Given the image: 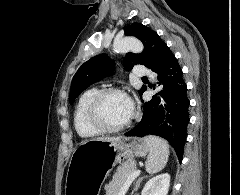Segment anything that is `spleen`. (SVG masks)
<instances>
[{"label": "spleen", "instance_id": "spleen-1", "mask_svg": "<svg viewBox=\"0 0 240 195\" xmlns=\"http://www.w3.org/2000/svg\"><path fill=\"white\" fill-rule=\"evenodd\" d=\"M150 145L149 155L145 161L146 171L148 173H157L165 167L168 157L170 155L169 143L163 137H158V135H146Z\"/></svg>", "mask_w": 240, "mask_h": 195}]
</instances>
